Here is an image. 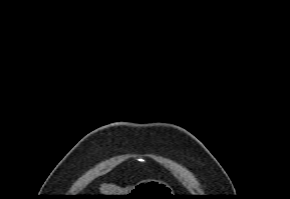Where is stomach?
Wrapping results in <instances>:
<instances>
[{"mask_svg":"<svg viewBox=\"0 0 290 199\" xmlns=\"http://www.w3.org/2000/svg\"><path fill=\"white\" fill-rule=\"evenodd\" d=\"M166 187L167 186H163L160 182L146 181L138 185L136 188L132 189L127 194H116V195H128L124 196V198L126 199H134L140 196L149 198L152 196H156V194L158 193V191L161 190V188L166 189Z\"/></svg>","mask_w":290,"mask_h":199,"instance_id":"obj_1","label":"stomach"}]
</instances>
